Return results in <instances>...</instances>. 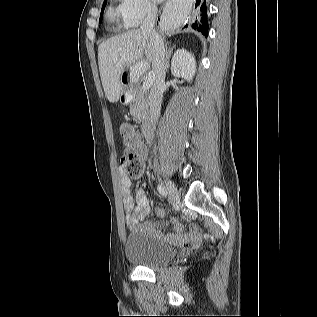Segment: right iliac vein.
I'll return each instance as SVG.
<instances>
[{"mask_svg":"<svg viewBox=\"0 0 317 317\" xmlns=\"http://www.w3.org/2000/svg\"><path fill=\"white\" fill-rule=\"evenodd\" d=\"M165 184H166V188H167L168 193H169L170 202L173 203L178 198V190H177L176 186L174 185V183L170 180H166Z\"/></svg>","mask_w":317,"mask_h":317,"instance_id":"63e3f726","label":"right iliac vein"}]
</instances>
